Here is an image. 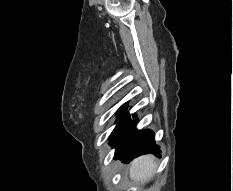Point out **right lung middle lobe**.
<instances>
[{"mask_svg": "<svg viewBox=\"0 0 233 191\" xmlns=\"http://www.w3.org/2000/svg\"><path fill=\"white\" fill-rule=\"evenodd\" d=\"M126 107L125 105L121 106V108L119 109V111H121V115H123L124 111H125ZM119 120V119H118Z\"/></svg>", "mask_w": 233, "mask_h": 191, "instance_id": "right-lung-middle-lobe-1", "label": "right lung middle lobe"}]
</instances>
